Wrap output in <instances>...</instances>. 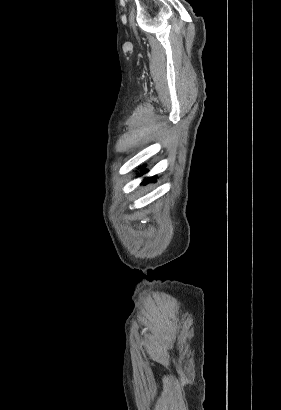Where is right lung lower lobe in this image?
I'll return each instance as SVG.
<instances>
[{"instance_id":"1","label":"right lung lower lobe","mask_w":281,"mask_h":410,"mask_svg":"<svg viewBox=\"0 0 281 410\" xmlns=\"http://www.w3.org/2000/svg\"><path fill=\"white\" fill-rule=\"evenodd\" d=\"M155 178L156 177H150V178L144 179L143 184H146L147 182H150V181H154Z\"/></svg>"}]
</instances>
